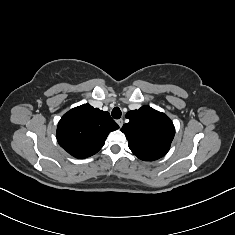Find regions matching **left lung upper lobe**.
Returning <instances> with one entry per match:
<instances>
[{
  "mask_svg": "<svg viewBox=\"0 0 235 235\" xmlns=\"http://www.w3.org/2000/svg\"><path fill=\"white\" fill-rule=\"evenodd\" d=\"M129 122L121 131L126 135L128 146L141 160L153 161L164 156L175 135L172 121L150 106L126 114Z\"/></svg>",
  "mask_w": 235,
  "mask_h": 235,
  "instance_id": "1",
  "label": "left lung upper lobe"
}]
</instances>
